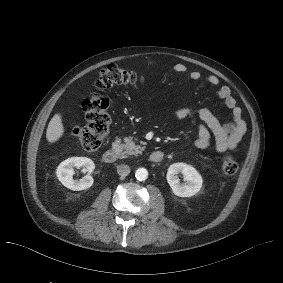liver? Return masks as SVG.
<instances>
[{"mask_svg":"<svg viewBox=\"0 0 283 283\" xmlns=\"http://www.w3.org/2000/svg\"><path fill=\"white\" fill-rule=\"evenodd\" d=\"M64 119L61 112H56L46 130V141L49 145L56 144L65 135Z\"/></svg>","mask_w":283,"mask_h":283,"instance_id":"liver-1","label":"liver"}]
</instances>
